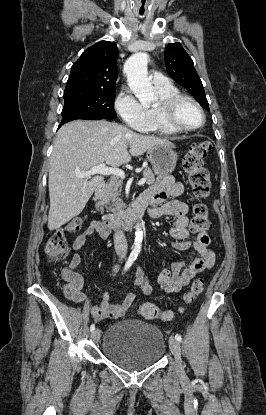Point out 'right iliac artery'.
I'll return each instance as SVG.
<instances>
[{
  "label": "right iliac artery",
  "mask_w": 266,
  "mask_h": 415,
  "mask_svg": "<svg viewBox=\"0 0 266 415\" xmlns=\"http://www.w3.org/2000/svg\"><path fill=\"white\" fill-rule=\"evenodd\" d=\"M137 256H138V252L137 251H132L131 252V254H130V256H129L126 264H125L124 271H127L131 267V265L133 264V262L136 260ZM94 330H95V325L92 324L90 326V331L93 332Z\"/></svg>",
  "instance_id": "right-iliac-artery-1"
}]
</instances>
